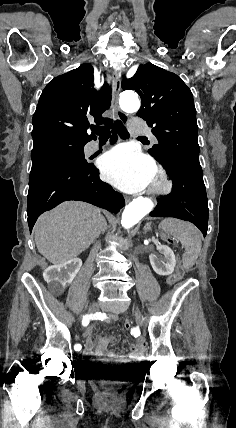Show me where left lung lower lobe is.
Returning <instances> with one entry per match:
<instances>
[{
  "instance_id": "1",
  "label": "left lung lower lobe",
  "mask_w": 236,
  "mask_h": 428,
  "mask_svg": "<svg viewBox=\"0 0 236 428\" xmlns=\"http://www.w3.org/2000/svg\"><path fill=\"white\" fill-rule=\"evenodd\" d=\"M173 180L172 192L158 199L152 217H174L192 222L204 236L208 229V200L201 167L169 161L164 165Z\"/></svg>"
}]
</instances>
